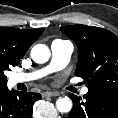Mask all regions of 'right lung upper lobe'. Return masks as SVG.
<instances>
[{
    "label": "right lung upper lobe",
    "mask_w": 118,
    "mask_h": 118,
    "mask_svg": "<svg viewBox=\"0 0 118 118\" xmlns=\"http://www.w3.org/2000/svg\"><path fill=\"white\" fill-rule=\"evenodd\" d=\"M43 31V28L24 30L0 27V52L6 53L12 60L20 62V59ZM4 87L7 86L0 84V89Z\"/></svg>",
    "instance_id": "obj_1"
}]
</instances>
